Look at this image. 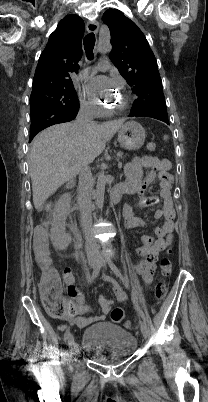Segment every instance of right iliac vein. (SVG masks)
Masks as SVG:
<instances>
[{"instance_id":"63e3f726","label":"right iliac vein","mask_w":208,"mask_h":402,"mask_svg":"<svg viewBox=\"0 0 208 402\" xmlns=\"http://www.w3.org/2000/svg\"><path fill=\"white\" fill-rule=\"evenodd\" d=\"M97 262H98V259L96 257L88 258V264H89L90 268H95ZM68 346L70 348V350H69L70 356L72 357L74 355L75 349H76L73 335H70V337H69Z\"/></svg>"}]
</instances>
